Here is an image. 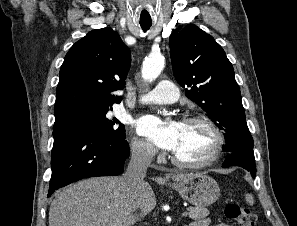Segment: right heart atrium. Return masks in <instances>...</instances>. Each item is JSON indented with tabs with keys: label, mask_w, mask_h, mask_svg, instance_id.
<instances>
[{
	"label": "right heart atrium",
	"mask_w": 297,
	"mask_h": 226,
	"mask_svg": "<svg viewBox=\"0 0 297 226\" xmlns=\"http://www.w3.org/2000/svg\"><path fill=\"white\" fill-rule=\"evenodd\" d=\"M131 152L133 157L141 162H149L155 155L152 145L137 137L131 140Z\"/></svg>",
	"instance_id": "obj_1"
}]
</instances>
